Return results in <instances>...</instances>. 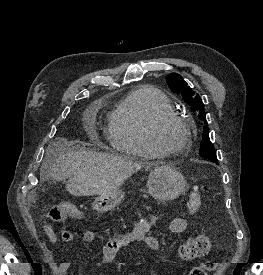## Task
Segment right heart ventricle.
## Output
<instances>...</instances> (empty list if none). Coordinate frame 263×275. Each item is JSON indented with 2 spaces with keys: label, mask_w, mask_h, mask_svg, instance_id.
I'll use <instances>...</instances> for the list:
<instances>
[{
  "label": "right heart ventricle",
  "mask_w": 263,
  "mask_h": 275,
  "mask_svg": "<svg viewBox=\"0 0 263 275\" xmlns=\"http://www.w3.org/2000/svg\"><path fill=\"white\" fill-rule=\"evenodd\" d=\"M171 111V101L160 90L145 86L129 92L109 116L108 136L112 147L124 154L154 158L147 131L160 113Z\"/></svg>",
  "instance_id": "e07e8e85"
}]
</instances>
